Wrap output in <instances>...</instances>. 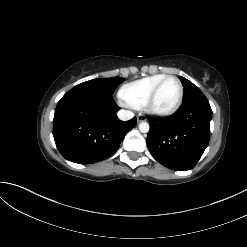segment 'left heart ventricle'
<instances>
[{
    "instance_id": "b2bd125f",
    "label": "left heart ventricle",
    "mask_w": 247,
    "mask_h": 247,
    "mask_svg": "<svg viewBox=\"0 0 247 247\" xmlns=\"http://www.w3.org/2000/svg\"><path fill=\"white\" fill-rule=\"evenodd\" d=\"M179 97V85L175 79H168L161 86L155 101L153 109L156 111H167L177 102Z\"/></svg>"
}]
</instances>
